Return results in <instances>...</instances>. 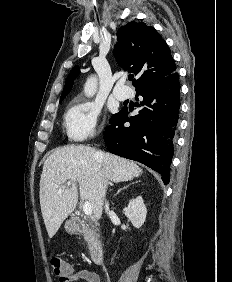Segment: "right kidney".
I'll list each match as a JSON object with an SVG mask.
<instances>
[{
	"label": "right kidney",
	"mask_w": 232,
	"mask_h": 282,
	"mask_svg": "<svg viewBox=\"0 0 232 282\" xmlns=\"http://www.w3.org/2000/svg\"><path fill=\"white\" fill-rule=\"evenodd\" d=\"M123 211L135 228H140L144 224L147 209L141 196L132 199Z\"/></svg>",
	"instance_id": "ca27d5eb"
}]
</instances>
